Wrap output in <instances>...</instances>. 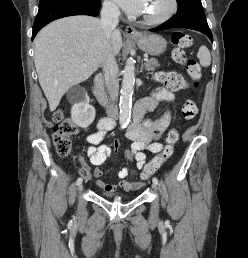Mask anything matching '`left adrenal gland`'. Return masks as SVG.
I'll use <instances>...</instances> for the list:
<instances>
[{
    "instance_id": "obj_1",
    "label": "left adrenal gland",
    "mask_w": 248,
    "mask_h": 258,
    "mask_svg": "<svg viewBox=\"0 0 248 258\" xmlns=\"http://www.w3.org/2000/svg\"><path fill=\"white\" fill-rule=\"evenodd\" d=\"M144 65L142 64L141 70H143Z\"/></svg>"
}]
</instances>
